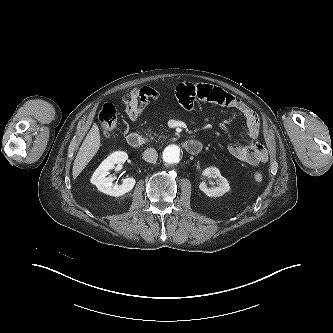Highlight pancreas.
Here are the masks:
<instances>
[{
	"label": "pancreas",
	"instance_id": "obj_1",
	"mask_svg": "<svg viewBox=\"0 0 333 333\" xmlns=\"http://www.w3.org/2000/svg\"><path fill=\"white\" fill-rule=\"evenodd\" d=\"M148 135H149L150 139H153L152 133H149Z\"/></svg>",
	"mask_w": 333,
	"mask_h": 333
}]
</instances>
